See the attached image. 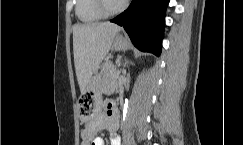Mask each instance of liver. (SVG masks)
<instances>
[{
  "label": "liver",
  "mask_w": 243,
  "mask_h": 145,
  "mask_svg": "<svg viewBox=\"0 0 243 145\" xmlns=\"http://www.w3.org/2000/svg\"><path fill=\"white\" fill-rule=\"evenodd\" d=\"M120 30L121 27L110 22L74 25V64L81 93L85 92L90 79L111 49L114 37Z\"/></svg>",
  "instance_id": "liver-1"
}]
</instances>
